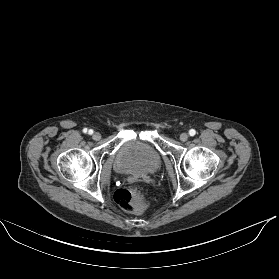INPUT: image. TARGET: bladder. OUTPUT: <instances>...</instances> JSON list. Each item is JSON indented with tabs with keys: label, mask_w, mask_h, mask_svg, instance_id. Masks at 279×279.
<instances>
[{
	"label": "bladder",
	"mask_w": 279,
	"mask_h": 279,
	"mask_svg": "<svg viewBox=\"0 0 279 279\" xmlns=\"http://www.w3.org/2000/svg\"><path fill=\"white\" fill-rule=\"evenodd\" d=\"M117 172L135 179H145L161 168V158L149 143L138 139L124 141L113 154Z\"/></svg>",
	"instance_id": "obj_1"
}]
</instances>
